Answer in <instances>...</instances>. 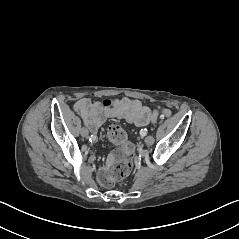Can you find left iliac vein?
Segmentation results:
<instances>
[{"label":"left iliac vein","mask_w":239,"mask_h":239,"mask_svg":"<svg viewBox=\"0 0 239 239\" xmlns=\"http://www.w3.org/2000/svg\"><path fill=\"white\" fill-rule=\"evenodd\" d=\"M154 137L153 136H147L146 138H145V143L147 144V145H152L153 143H154Z\"/></svg>","instance_id":"obj_1"}]
</instances>
